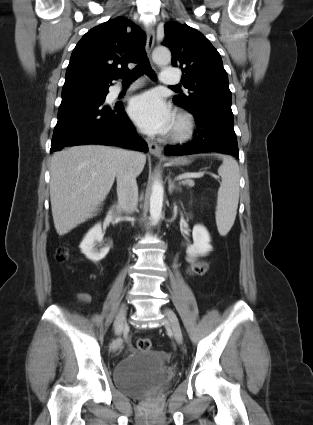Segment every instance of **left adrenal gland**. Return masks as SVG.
<instances>
[{"mask_svg": "<svg viewBox=\"0 0 313 425\" xmlns=\"http://www.w3.org/2000/svg\"><path fill=\"white\" fill-rule=\"evenodd\" d=\"M173 190H181L180 184H176L172 179L168 178V192L172 194Z\"/></svg>", "mask_w": 313, "mask_h": 425, "instance_id": "a2214340", "label": "left adrenal gland"}]
</instances>
